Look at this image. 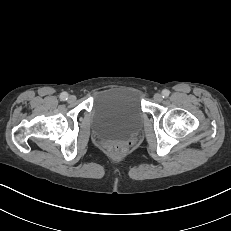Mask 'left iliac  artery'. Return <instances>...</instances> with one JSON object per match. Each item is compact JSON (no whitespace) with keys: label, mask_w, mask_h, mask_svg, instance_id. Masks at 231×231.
Listing matches in <instances>:
<instances>
[{"label":"left iliac artery","mask_w":231,"mask_h":231,"mask_svg":"<svg viewBox=\"0 0 231 231\" xmlns=\"http://www.w3.org/2000/svg\"><path fill=\"white\" fill-rule=\"evenodd\" d=\"M169 95H170V91H169L168 89H164V90L162 91V96H163V98L168 97Z\"/></svg>","instance_id":"44dca946"}]
</instances>
